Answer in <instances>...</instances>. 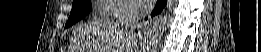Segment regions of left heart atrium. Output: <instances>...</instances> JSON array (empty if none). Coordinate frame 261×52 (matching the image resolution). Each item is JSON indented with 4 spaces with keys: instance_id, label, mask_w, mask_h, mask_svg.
Segmentation results:
<instances>
[{
    "instance_id": "obj_1",
    "label": "left heart atrium",
    "mask_w": 261,
    "mask_h": 52,
    "mask_svg": "<svg viewBox=\"0 0 261 52\" xmlns=\"http://www.w3.org/2000/svg\"><path fill=\"white\" fill-rule=\"evenodd\" d=\"M134 2L139 8L143 9H149L153 4L152 0H134Z\"/></svg>"
}]
</instances>
